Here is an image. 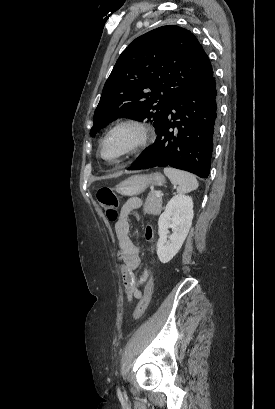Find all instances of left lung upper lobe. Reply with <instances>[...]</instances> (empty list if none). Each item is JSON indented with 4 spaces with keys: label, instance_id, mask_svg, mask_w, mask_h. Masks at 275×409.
<instances>
[{
    "label": "left lung upper lobe",
    "instance_id": "1",
    "mask_svg": "<svg viewBox=\"0 0 275 409\" xmlns=\"http://www.w3.org/2000/svg\"><path fill=\"white\" fill-rule=\"evenodd\" d=\"M212 70L194 34L175 25L130 43L107 79L94 113V136L119 117L153 122L157 129L180 94Z\"/></svg>",
    "mask_w": 275,
    "mask_h": 409
}]
</instances>
